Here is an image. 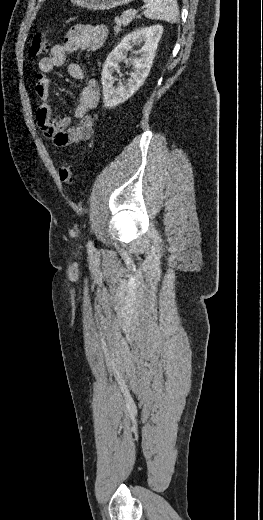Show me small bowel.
Here are the masks:
<instances>
[{"instance_id": "small-bowel-1", "label": "small bowel", "mask_w": 263, "mask_h": 520, "mask_svg": "<svg viewBox=\"0 0 263 520\" xmlns=\"http://www.w3.org/2000/svg\"><path fill=\"white\" fill-rule=\"evenodd\" d=\"M106 36L107 29L104 26L75 25L66 33L64 42L53 46L49 56L38 62L35 92L39 103L36 120L45 137L56 147H68L92 137L95 120L89 112L98 104L100 88L96 79L87 80L80 90L73 116L58 119L54 117L50 104L51 79L48 74L54 68L64 65L68 55L73 52L98 50ZM67 68L73 79H84V72L79 64L69 63Z\"/></svg>"}]
</instances>
